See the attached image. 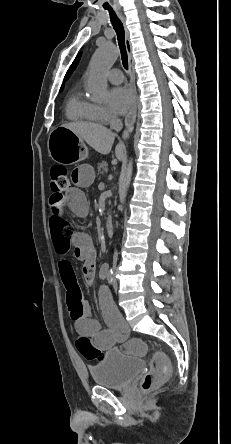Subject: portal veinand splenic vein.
Instances as JSON below:
<instances>
[{
  "mask_svg": "<svg viewBox=\"0 0 231 444\" xmlns=\"http://www.w3.org/2000/svg\"><path fill=\"white\" fill-rule=\"evenodd\" d=\"M99 187L104 188V183H100Z\"/></svg>",
  "mask_w": 231,
  "mask_h": 444,
  "instance_id": "obj_1",
  "label": "portal vein and splenic vein"
}]
</instances>
